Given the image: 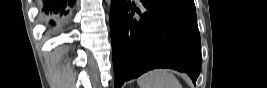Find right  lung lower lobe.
Listing matches in <instances>:
<instances>
[{"label": "right lung lower lobe", "mask_w": 267, "mask_h": 88, "mask_svg": "<svg viewBox=\"0 0 267 88\" xmlns=\"http://www.w3.org/2000/svg\"><path fill=\"white\" fill-rule=\"evenodd\" d=\"M75 3V0H45L42 11L52 17L50 25L54 26L55 21L62 25L64 19L67 18L70 8Z\"/></svg>", "instance_id": "obj_1"}]
</instances>
